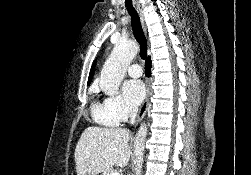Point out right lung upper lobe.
I'll return each mask as SVG.
<instances>
[{
  "label": "right lung upper lobe",
  "instance_id": "1",
  "mask_svg": "<svg viewBox=\"0 0 251 175\" xmlns=\"http://www.w3.org/2000/svg\"><path fill=\"white\" fill-rule=\"evenodd\" d=\"M149 58H150V57H149ZM149 58H148V59H149ZM94 67H95V63L93 64V66H92V68H91V71H90V74H89V79H88V84H89L90 81L92 80Z\"/></svg>",
  "mask_w": 251,
  "mask_h": 175
}]
</instances>
